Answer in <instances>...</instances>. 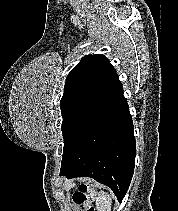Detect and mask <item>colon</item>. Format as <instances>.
Instances as JSON below:
<instances>
[{"label": "colon", "instance_id": "1", "mask_svg": "<svg viewBox=\"0 0 178 211\" xmlns=\"http://www.w3.org/2000/svg\"><path fill=\"white\" fill-rule=\"evenodd\" d=\"M96 198V193L92 182H84L77 186L73 194V201L77 205H84V211H94L91 206Z\"/></svg>", "mask_w": 178, "mask_h": 211}]
</instances>
